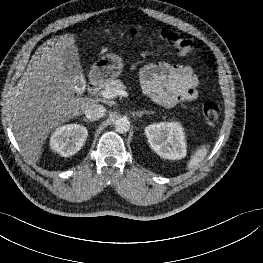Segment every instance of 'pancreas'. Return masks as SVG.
<instances>
[{
  "label": "pancreas",
  "instance_id": "pancreas-1",
  "mask_svg": "<svg viewBox=\"0 0 263 263\" xmlns=\"http://www.w3.org/2000/svg\"><path fill=\"white\" fill-rule=\"evenodd\" d=\"M106 89H120V90H125L126 86L123 84V82L119 79H111L106 82H104L102 86V91ZM101 91V92H102Z\"/></svg>",
  "mask_w": 263,
  "mask_h": 263
}]
</instances>
